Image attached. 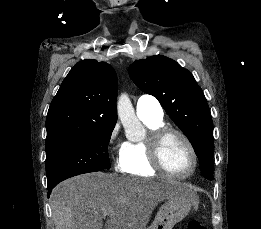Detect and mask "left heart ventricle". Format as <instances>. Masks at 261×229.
Wrapping results in <instances>:
<instances>
[{"mask_svg":"<svg viewBox=\"0 0 261 229\" xmlns=\"http://www.w3.org/2000/svg\"><path fill=\"white\" fill-rule=\"evenodd\" d=\"M163 157L166 165L175 173L184 174L192 167L191 153L184 141L177 136L167 140Z\"/></svg>","mask_w":261,"mask_h":229,"instance_id":"1","label":"left heart ventricle"}]
</instances>
